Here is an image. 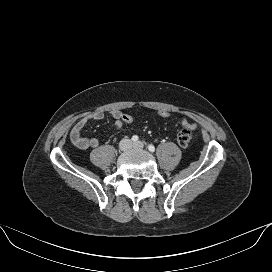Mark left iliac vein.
Returning a JSON list of instances; mask_svg holds the SVG:
<instances>
[{
	"label": "left iliac vein",
	"mask_w": 272,
	"mask_h": 272,
	"mask_svg": "<svg viewBox=\"0 0 272 272\" xmlns=\"http://www.w3.org/2000/svg\"><path fill=\"white\" fill-rule=\"evenodd\" d=\"M133 147L137 148V149H142L144 147V145L141 141H138L133 144Z\"/></svg>",
	"instance_id": "1"
}]
</instances>
